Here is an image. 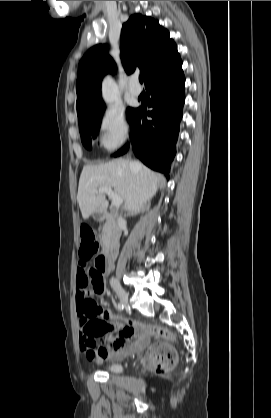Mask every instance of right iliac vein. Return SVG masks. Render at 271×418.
<instances>
[{
    "mask_svg": "<svg viewBox=\"0 0 271 418\" xmlns=\"http://www.w3.org/2000/svg\"><path fill=\"white\" fill-rule=\"evenodd\" d=\"M114 290L118 296V298L120 299V302L124 305L127 306L128 305V294L125 291L124 288H122L121 286L117 285L114 287Z\"/></svg>",
    "mask_w": 271,
    "mask_h": 418,
    "instance_id": "obj_1",
    "label": "right iliac vein"
}]
</instances>
